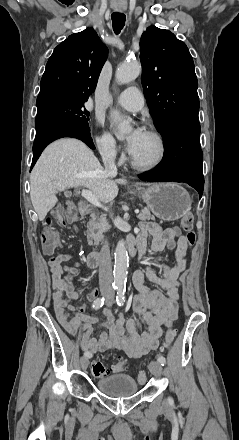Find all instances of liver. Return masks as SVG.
<instances>
[{"label": "liver", "instance_id": "obj_1", "mask_svg": "<svg viewBox=\"0 0 239 440\" xmlns=\"http://www.w3.org/2000/svg\"><path fill=\"white\" fill-rule=\"evenodd\" d=\"M92 150L80 140L62 138L45 148L30 176V198L40 222L56 206L57 192L84 186L100 202H112L118 196L117 184L127 180H111Z\"/></svg>", "mask_w": 239, "mask_h": 440}]
</instances>
